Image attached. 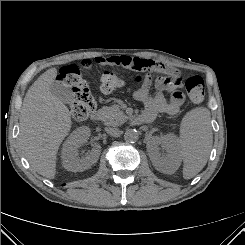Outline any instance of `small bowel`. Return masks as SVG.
Listing matches in <instances>:
<instances>
[{
    "mask_svg": "<svg viewBox=\"0 0 245 245\" xmlns=\"http://www.w3.org/2000/svg\"><path fill=\"white\" fill-rule=\"evenodd\" d=\"M94 61L104 66H122L126 69L143 73L140 76L139 87L133 92L134 98L143 103L145 109L143 115L152 121L157 114L166 113L176 115L185 103V97L181 92L182 80L180 78H171L169 76L160 77L155 83V91L151 92V75L154 73H164L162 65L151 59L131 57L128 55L98 56ZM84 67H89L91 60L82 61ZM170 93V99L167 100L165 93Z\"/></svg>",
    "mask_w": 245,
    "mask_h": 245,
    "instance_id": "small-bowel-1",
    "label": "small bowel"
}]
</instances>
